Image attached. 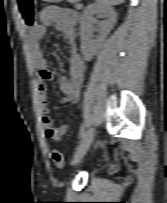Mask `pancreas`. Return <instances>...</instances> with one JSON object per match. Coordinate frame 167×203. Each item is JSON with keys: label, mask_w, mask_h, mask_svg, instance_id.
<instances>
[{"label": "pancreas", "mask_w": 167, "mask_h": 203, "mask_svg": "<svg viewBox=\"0 0 167 203\" xmlns=\"http://www.w3.org/2000/svg\"><path fill=\"white\" fill-rule=\"evenodd\" d=\"M68 2L75 4L77 9H80L81 7L77 4V2H79V0H68Z\"/></svg>", "instance_id": "obj_1"}]
</instances>
